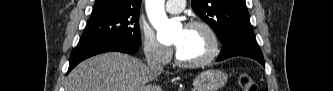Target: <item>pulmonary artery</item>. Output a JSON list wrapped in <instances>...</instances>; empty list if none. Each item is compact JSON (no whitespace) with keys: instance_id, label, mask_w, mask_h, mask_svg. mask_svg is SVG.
Listing matches in <instances>:
<instances>
[{"instance_id":"e3ab8cb5","label":"pulmonary artery","mask_w":333,"mask_h":91,"mask_svg":"<svg viewBox=\"0 0 333 91\" xmlns=\"http://www.w3.org/2000/svg\"><path fill=\"white\" fill-rule=\"evenodd\" d=\"M185 6L184 1H167L166 2V10L169 13L175 14V13H180Z\"/></svg>"}]
</instances>
